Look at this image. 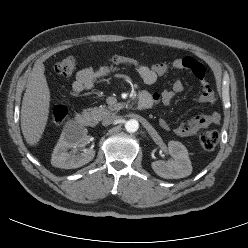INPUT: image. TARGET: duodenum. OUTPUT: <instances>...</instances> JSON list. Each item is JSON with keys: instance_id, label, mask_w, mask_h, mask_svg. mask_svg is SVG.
I'll return each instance as SVG.
<instances>
[{"instance_id": "1", "label": "duodenum", "mask_w": 248, "mask_h": 248, "mask_svg": "<svg viewBox=\"0 0 248 248\" xmlns=\"http://www.w3.org/2000/svg\"><path fill=\"white\" fill-rule=\"evenodd\" d=\"M138 105L141 110L149 109L152 106L150 96L146 93H141ZM75 122L83 127H94L96 125V119L93 116L81 112L76 115Z\"/></svg>"}]
</instances>
